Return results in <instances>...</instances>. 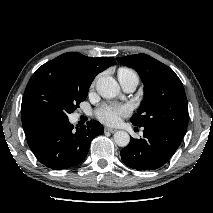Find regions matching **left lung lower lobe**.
Listing matches in <instances>:
<instances>
[{"mask_svg":"<svg viewBox=\"0 0 213 213\" xmlns=\"http://www.w3.org/2000/svg\"><path fill=\"white\" fill-rule=\"evenodd\" d=\"M183 136L170 128L144 127L143 138H131L121 150L122 161L138 171L160 168L175 153Z\"/></svg>","mask_w":213,"mask_h":213,"instance_id":"obj_1","label":"left lung lower lobe"}]
</instances>
